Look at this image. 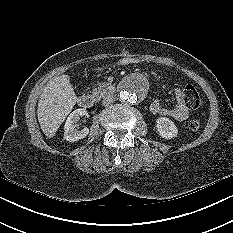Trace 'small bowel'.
I'll return each instance as SVG.
<instances>
[{"mask_svg":"<svg viewBox=\"0 0 233 233\" xmlns=\"http://www.w3.org/2000/svg\"><path fill=\"white\" fill-rule=\"evenodd\" d=\"M176 104L173 107L164 105L160 100H155L150 110L155 115L171 117L177 121H184L189 117V109L180 88L174 90Z\"/></svg>","mask_w":233,"mask_h":233,"instance_id":"obj_1","label":"small bowel"}]
</instances>
